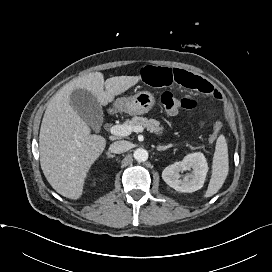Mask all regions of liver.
<instances>
[{
  "label": "liver",
  "instance_id": "1",
  "mask_svg": "<svg viewBox=\"0 0 272 272\" xmlns=\"http://www.w3.org/2000/svg\"><path fill=\"white\" fill-rule=\"evenodd\" d=\"M139 80V76H116L104 81L101 72H94L70 81L52 97L40 128L39 151L42 171L57 193L79 199L90 167L106 146V139L91 135L88 124L70 105L71 93L86 89L106 106Z\"/></svg>",
  "mask_w": 272,
  "mask_h": 272
}]
</instances>
